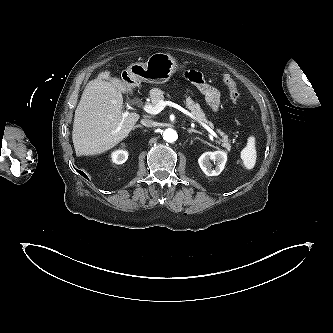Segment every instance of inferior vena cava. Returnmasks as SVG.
<instances>
[{
	"instance_id": "inferior-vena-cava-1",
	"label": "inferior vena cava",
	"mask_w": 333,
	"mask_h": 333,
	"mask_svg": "<svg viewBox=\"0 0 333 333\" xmlns=\"http://www.w3.org/2000/svg\"><path fill=\"white\" fill-rule=\"evenodd\" d=\"M141 124L146 126V127H154L155 126V122L150 120V119H142Z\"/></svg>"
}]
</instances>
